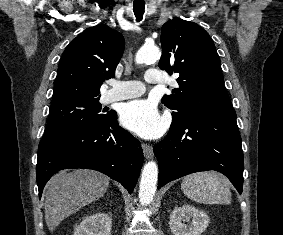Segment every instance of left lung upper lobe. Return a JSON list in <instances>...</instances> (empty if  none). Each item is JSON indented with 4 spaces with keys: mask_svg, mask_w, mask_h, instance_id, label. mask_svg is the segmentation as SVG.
I'll return each mask as SVG.
<instances>
[{
    "mask_svg": "<svg viewBox=\"0 0 283 235\" xmlns=\"http://www.w3.org/2000/svg\"><path fill=\"white\" fill-rule=\"evenodd\" d=\"M161 44L159 67L180 74L179 88L162 98L172 110V123L196 114L233 110L215 45L202 27L172 19L162 26Z\"/></svg>",
    "mask_w": 283,
    "mask_h": 235,
    "instance_id": "obj_1",
    "label": "left lung upper lobe"
}]
</instances>
